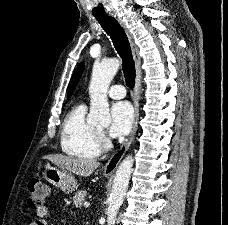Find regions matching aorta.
Segmentation results:
<instances>
[{
  "label": "aorta",
  "mask_w": 228,
  "mask_h": 225,
  "mask_svg": "<svg viewBox=\"0 0 228 225\" xmlns=\"http://www.w3.org/2000/svg\"><path fill=\"white\" fill-rule=\"evenodd\" d=\"M119 66L120 60L118 58H108V60L93 64L89 84V92L91 94L90 113L87 117L89 125H101V127H109L111 125L107 92L112 78L119 70ZM132 167V157H125L115 173L110 203L107 209V225H115L117 213L128 189Z\"/></svg>",
  "instance_id": "obj_1"
}]
</instances>
